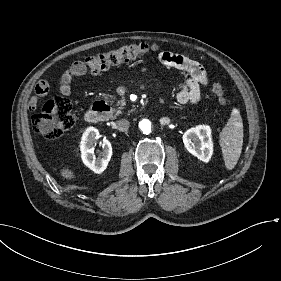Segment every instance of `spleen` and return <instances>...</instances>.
Listing matches in <instances>:
<instances>
[{
  "label": "spleen",
  "instance_id": "3e777b00",
  "mask_svg": "<svg viewBox=\"0 0 281 281\" xmlns=\"http://www.w3.org/2000/svg\"><path fill=\"white\" fill-rule=\"evenodd\" d=\"M243 122L238 109L233 108L227 125L220 133V146L227 169L232 170L237 164L243 146Z\"/></svg>",
  "mask_w": 281,
  "mask_h": 281
}]
</instances>
